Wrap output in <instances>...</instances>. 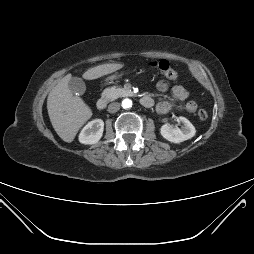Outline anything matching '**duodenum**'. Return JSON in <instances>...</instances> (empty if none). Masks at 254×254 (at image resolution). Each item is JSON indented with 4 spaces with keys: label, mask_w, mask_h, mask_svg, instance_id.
I'll list each match as a JSON object with an SVG mask.
<instances>
[{
    "label": "duodenum",
    "mask_w": 254,
    "mask_h": 254,
    "mask_svg": "<svg viewBox=\"0 0 254 254\" xmlns=\"http://www.w3.org/2000/svg\"><path fill=\"white\" fill-rule=\"evenodd\" d=\"M140 103L144 106V107H152L153 106V99L149 96H144L140 99ZM107 106V99L104 97H101L97 100L96 102V107L99 110H103L105 109Z\"/></svg>",
    "instance_id": "1"
}]
</instances>
